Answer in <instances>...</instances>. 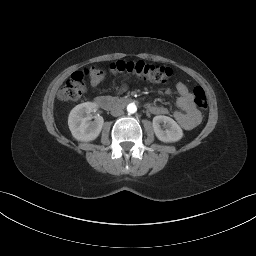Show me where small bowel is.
<instances>
[{"mask_svg":"<svg viewBox=\"0 0 256 256\" xmlns=\"http://www.w3.org/2000/svg\"><path fill=\"white\" fill-rule=\"evenodd\" d=\"M127 89L126 85H122L118 92H124ZM175 89L178 94L177 106L179 111L174 112L173 117L178 124L185 130L195 128L201 121V113L197 110L193 95L190 93L188 87L183 82H176ZM148 109L153 114L165 115L168 113L167 108L159 105H148Z\"/></svg>","mask_w":256,"mask_h":256,"instance_id":"obj_1","label":"small bowel"}]
</instances>
